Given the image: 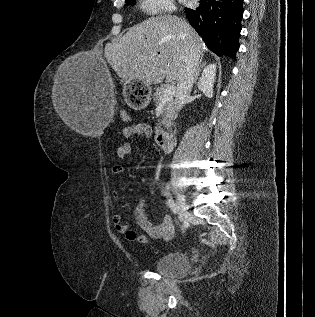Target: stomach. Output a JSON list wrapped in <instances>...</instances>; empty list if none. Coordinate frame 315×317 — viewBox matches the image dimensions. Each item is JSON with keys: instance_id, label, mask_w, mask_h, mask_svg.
<instances>
[{"instance_id": "stomach-1", "label": "stomach", "mask_w": 315, "mask_h": 317, "mask_svg": "<svg viewBox=\"0 0 315 317\" xmlns=\"http://www.w3.org/2000/svg\"><path fill=\"white\" fill-rule=\"evenodd\" d=\"M123 91L127 103L136 110L149 108L150 104L155 103V98L151 97V87L147 83L138 80L127 81Z\"/></svg>"}]
</instances>
